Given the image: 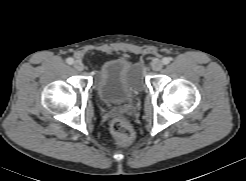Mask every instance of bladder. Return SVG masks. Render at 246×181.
Listing matches in <instances>:
<instances>
[{
	"instance_id": "obj_1",
	"label": "bladder",
	"mask_w": 246,
	"mask_h": 181,
	"mask_svg": "<svg viewBox=\"0 0 246 181\" xmlns=\"http://www.w3.org/2000/svg\"><path fill=\"white\" fill-rule=\"evenodd\" d=\"M95 83L99 98L104 103L121 104L141 89V68L126 59H112L98 69Z\"/></svg>"
}]
</instances>
